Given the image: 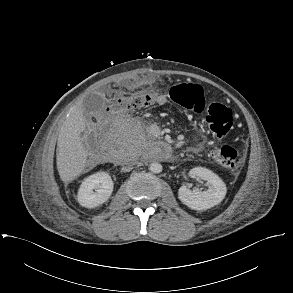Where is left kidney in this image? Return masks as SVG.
Instances as JSON below:
<instances>
[{"instance_id":"obj_1","label":"left kidney","mask_w":293,"mask_h":293,"mask_svg":"<svg viewBox=\"0 0 293 293\" xmlns=\"http://www.w3.org/2000/svg\"><path fill=\"white\" fill-rule=\"evenodd\" d=\"M192 178L198 177L209 186L206 191L190 190L181 186L178 190L180 201L193 210H207L219 204L226 195L227 188L222 179L211 170L204 167H195L189 171Z\"/></svg>"}]
</instances>
